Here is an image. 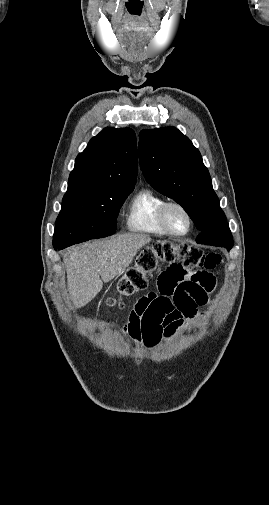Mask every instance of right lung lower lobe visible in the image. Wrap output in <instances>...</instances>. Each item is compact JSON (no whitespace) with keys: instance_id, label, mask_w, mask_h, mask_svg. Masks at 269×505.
<instances>
[{"instance_id":"obj_1","label":"right lung lower lobe","mask_w":269,"mask_h":505,"mask_svg":"<svg viewBox=\"0 0 269 505\" xmlns=\"http://www.w3.org/2000/svg\"><path fill=\"white\" fill-rule=\"evenodd\" d=\"M56 250L64 249L63 247H54Z\"/></svg>"}]
</instances>
